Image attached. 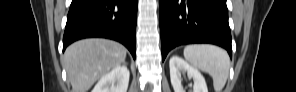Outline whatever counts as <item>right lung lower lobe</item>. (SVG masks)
<instances>
[{
    "instance_id": "obj_1",
    "label": "right lung lower lobe",
    "mask_w": 296,
    "mask_h": 92,
    "mask_svg": "<svg viewBox=\"0 0 296 92\" xmlns=\"http://www.w3.org/2000/svg\"><path fill=\"white\" fill-rule=\"evenodd\" d=\"M138 0H72L63 50L72 42L104 37L124 44L135 59Z\"/></svg>"
}]
</instances>
